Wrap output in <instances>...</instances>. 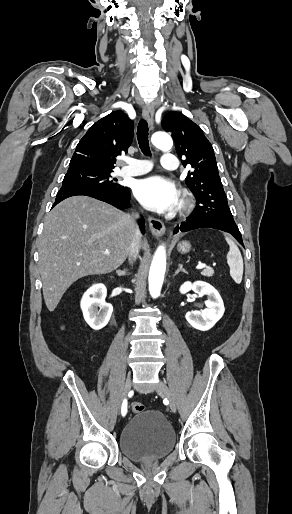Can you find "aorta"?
I'll use <instances>...</instances> for the list:
<instances>
[{"label":"aorta","instance_id":"obj_1","mask_svg":"<svg viewBox=\"0 0 292 514\" xmlns=\"http://www.w3.org/2000/svg\"><path fill=\"white\" fill-rule=\"evenodd\" d=\"M151 142L153 146H156V148H159V150H163V152H168V150H171L173 146L172 138H170L166 132H155L151 138ZM165 256L166 252L163 246H160L150 266L149 292L152 298H158V296H160L166 270Z\"/></svg>","mask_w":292,"mask_h":514}]
</instances>
